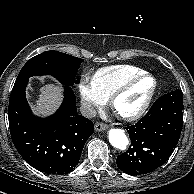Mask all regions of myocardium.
I'll use <instances>...</instances> for the list:
<instances>
[{"mask_svg":"<svg viewBox=\"0 0 194 194\" xmlns=\"http://www.w3.org/2000/svg\"><path fill=\"white\" fill-rule=\"evenodd\" d=\"M144 78H151L153 80V87L150 93L148 94V96L146 97L145 101L141 105V107L132 114L124 115V114L118 113L115 109V103L117 99L120 96H122L124 93H126L133 85H135L136 83H138ZM157 89H158V81L156 77L151 73L144 71L143 73L133 76L127 79L126 81H124L122 84H120L109 97V105L113 109V111L118 115V117L121 118L122 120L136 121L140 119L147 112L148 108L150 107L156 95Z\"/></svg>","mask_w":194,"mask_h":194,"instance_id":"obj_1","label":"myocardium"}]
</instances>
